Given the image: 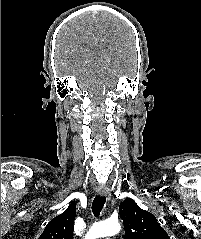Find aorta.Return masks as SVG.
<instances>
[{
	"instance_id": "1",
	"label": "aorta",
	"mask_w": 201,
	"mask_h": 239,
	"mask_svg": "<svg viewBox=\"0 0 201 239\" xmlns=\"http://www.w3.org/2000/svg\"><path fill=\"white\" fill-rule=\"evenodd\" d=\"M121 226L118 221L107 220L94 224L85 236V239H97L113 236L120 232Z\"/></svg>"
}]
</instances>
